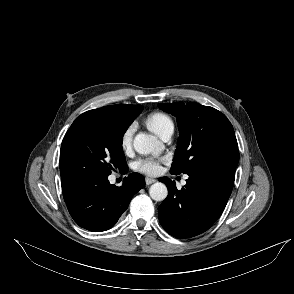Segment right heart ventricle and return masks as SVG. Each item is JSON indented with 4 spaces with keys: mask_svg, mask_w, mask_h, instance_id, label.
Segmentation results:
<instances>
[{
    "mask_svg": "<svg viewBox=\"0 0 294 294\" xmlns=\"http://www.w3.org/2000/svg\"><path fill=\"white\" fill-rule=\"evenodd\" d=\"M147 126L158 136H162L167 130L173 128L174 123L169 115L163 112H154L146 119Z\"/></svg>",
    "mask_w": 294,
    "mask_h": 294,
    "instance_id": "e07e8e85",
    "label": "right heart ventricle"
}]
</instances>
